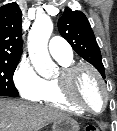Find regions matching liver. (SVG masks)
<instances>
[{
  "label": "liver",
  "instance_id": "liver-1",
  "mask_svg": "<svg viewBox=\"0 0 117 131\" xmlns=\"http://www.w3.org/2000/svg\"><path fill=\"white\" fill-rule=\"evenodd\" d=\"M64 117L67 114L56 108L0 99V131H39Z\"/></svg>",
  "mask_w": 117,
  "mask_h": 131
}]
</instances>
